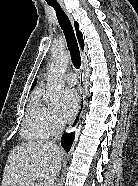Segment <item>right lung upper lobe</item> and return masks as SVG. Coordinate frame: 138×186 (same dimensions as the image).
I'll list each match as a JSON object with an SVG mask.
<instances>
[{
    "mask_svg": "<svg viewBox=\"0 0 138 186\" xmlns=\"http://www.w3.org/2000/svg\"><path fill=\"white\" fill-rule=\"evenodd\" d=\"M75 29H76V34H77V38H78L79 44L83 48L84 47L83 35L79 31V25H78L77 22H75ZM35 83H36V80L34 81L32 86H34Z\"/></svg>",
    "mask_w": 138,
    "mask_h": 186,
    "instance_id": "cb5924a9",
    "label": "right lung upper lobe"
}]
</instances>
